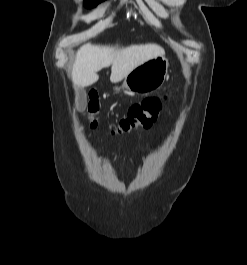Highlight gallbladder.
<instances>
[{
  "instance_id": "bac80fb5",
  "label": "gallbladder",
  "mask_w": 247,
  "mask_h": 265,
  "mask_svg": "<svg viewBox=\"0 0 247 265\" xmlns=\"http://www.w3.org/2000/svg\"><path fill=\"white\" fill-rule=\"evenodd\" d=\"M76 103L79 111H83L86 107V92L82 87H76Z\"/></svg>"
}]
</instances>
